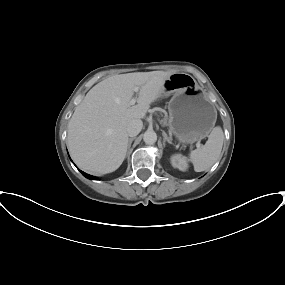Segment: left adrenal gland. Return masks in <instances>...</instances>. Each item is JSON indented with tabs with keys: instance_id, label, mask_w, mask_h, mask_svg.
I'll return each mask as SVG.
<instances>
[{
	"instance_id": "left-adrenal-gland-1",
	"label": "left adrenal gland",
	"mask_w": 285,
	"mask_h": 285,
	"mask_svg": "<svg viewBox=\"0 0 285 285\" xmlns=\"http://www.w3.org/2000/svg\"><path fill=\"white\" fill-rule=\"evenodd\" d=\"M162 135H163V144L165 145V142H168L169 144H172L171 139L167 136V134L165 133V131H162Z\"/></svg>"
}]
</instances>
